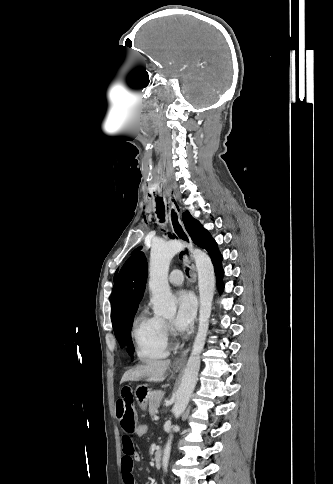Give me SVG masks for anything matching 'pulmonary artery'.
<instances>
[{"label": "pulmonary artery", "mask_w": 333, "mask_h": 484, "mask_svg": "<svg viewBox=\"0 0 333 484\" xmlns=\"http://www.w3.org/2000/svg\"><path fill=\"white\" fill-rule=\"evenodd\" d=\"M168 280L172 285L179 286L183 282V274L179 269H174L170 273Z\"/></svg>", "instance_id": "pulmonary-artery-1"}]
</instances>
